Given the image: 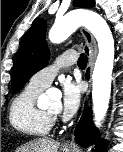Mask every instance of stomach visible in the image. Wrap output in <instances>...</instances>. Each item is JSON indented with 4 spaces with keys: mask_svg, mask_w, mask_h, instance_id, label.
Here are the masks:
<instances>
[{
    "mask_svg": "<svg viewBox=\"0 0 123 152\" xmlns=\"http://www.w3.org/2000/svg\"><path fill=\"white\" fill-rule=\"evenodd\" d=\"M62 152H71V151H70V149H68V148H63V149H62Z\"/></svg>",
    "mask_w": 123,
    "mask_h": 152,
    "instance_id": "0dacf381",
    "label": "stomach"
}]
</instances>
